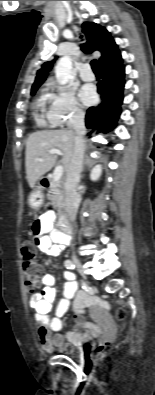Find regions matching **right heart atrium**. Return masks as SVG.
<instances>
[{"label": "right heart atrium", "mask_w": 155, "mask_h": 395, "mask_svg": "<svg viewBox=\"0 0 155 395\" xmlns=\"http://www.w3.org/2000/svg\"><path fill=\"white\" fill-rule=\"evenodd\" d=\"M48 101L50 102L48 118L53 127L75 124L84 116L74 91L66 86H52Z\"/></svg>", "instance_id": "right-heart-atrium-1"}]
</instances>
